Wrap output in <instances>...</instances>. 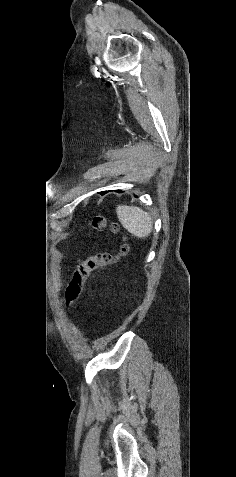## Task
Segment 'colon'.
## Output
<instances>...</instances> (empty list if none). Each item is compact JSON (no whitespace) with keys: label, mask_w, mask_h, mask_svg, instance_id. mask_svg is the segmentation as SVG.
<instances>
[{"label":"colon","mask_w":236,"mask_h":477,"mask_svg":"<svg viewBox=\"0 0 236 477\" xmlns=\"http://www.w3.org/2000/svg\"><path fill=\"white\" fill-rule=\"evenodd\" d=\"M92 227L98 231L110 230L117 232L118 227L115 223H110L101 215H98L92 220ZM128 248L126 245L122 246L120 256L126 254ZM119 256H113L107 252H100L87 257L75 269L65 291L66 301L68 305L74 304L81 296L86 281L90 275L98 270L104 269L118 261Z\"/></svg>","instance_id":"obj_1"}]
</instances>
